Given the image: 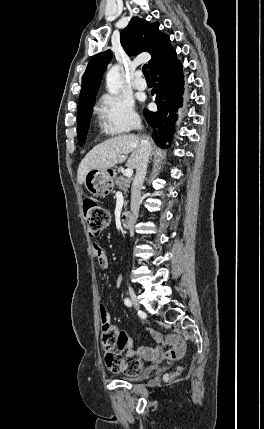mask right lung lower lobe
I'll return each instance as SVG.
<instances>
[{
    "mask_svg": "<svg viewBox=\"0 0 264 429\" xmlns=\"http://www.w3.org/2000/svg\"><path fill=\"white\" fill-rule=\"evenodd\" d=\"M154 81L152 94H155L156 112L144 110V117L153 130V139L160 147H167L165 142L170 141L173 135L172 126L176 120V113L182 106L184 80L181 62L173 49L150 72Z\"/></svg>",
    "mask_w": 264,
    "mask_h": 429,
    "instance_id": "1",
    "label": "right lung lower lobe"
}]
</instances>
